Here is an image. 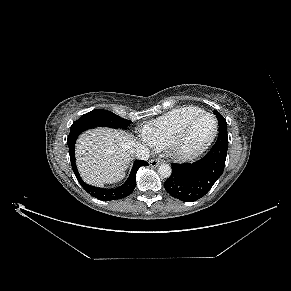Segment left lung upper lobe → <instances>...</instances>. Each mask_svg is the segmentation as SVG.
Segmentation results:
<instances>
[{
    "label": "left lung upper lobe",
    "instance_id": "obj_1",
    "mask_svg": "<svg viewBox=\"0 0 291 291\" xmlns=\"http://www.w3.org/2000/svg\"><path fill=\"white\" fill-rule=\"evenodd\" d=\"M214 114L216 115L217 119H218V124H219V132H224L227 134V123L224 117L221 116V114H219L218 111H214Z\"/></svg>",
    "mask_w": 291,
    "mask_h": 291
}]
</instances>
